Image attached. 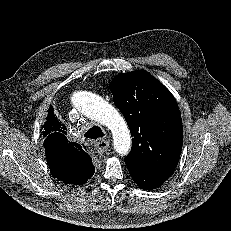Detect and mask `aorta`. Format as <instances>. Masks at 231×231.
<instances>
[{"mask_svg":"<svg viewBox=\"0 0 231 231\" xmlns=\"http://www.w3.org/2000/svg\"><path fill=\"white\" fill-rule=\"evenodd\" d=\"M71 102L86 117L108 128L113 136L116 152L125 156L131 149V135L120 113L102 97L89 91H76Z\"/></svg>","mask_w":231,"mask_h":231,"instance_id":"aorta-1","label":"aorta"}]
</instances>
